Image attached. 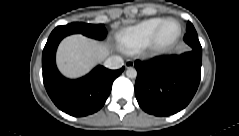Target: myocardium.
I'll return each mask as SVG.
<instances>
[{
  "mask_svg": "<svg viewBox=\"0 0 239 136\" xmlns=\"http://www.w3.org/2000/svg\"><path fill=\"white\" fill-rule=\"evenodd\" d=\"M171 23H175V24L178 26V28H179L178 35H180V26H179V24H178L176 21H174V20L164 21V22L158 27V29L155 31V33L152 35V37L150 38V40H148V41H150V46H151V47L164 49L163 46H162V43H161V41H160V37H161V34H162L164 28H165L167 25L171 24Z\"/></svg>",
  "mask_w": 239,
  "mask_h": 136,
  "instance_id": "obj_1",
  "label": "myocardium"
}]
</instances>
